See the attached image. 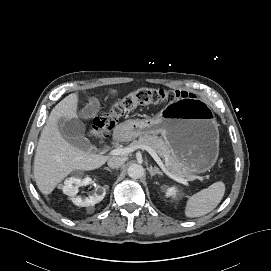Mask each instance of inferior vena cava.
Wrapping results in <instances>:
<instances>
[{
	"mask_svg": "<svg viewBox=\"0 0 271 271\" xmlns=\"http://www.w3.org/2000/svg\"><path fill=\"white\" fill-rule=\"evenodd\" d=\"M125 160L123 157H111L108 160V166L113 169L119 168L124 164Z\"/></svg>",
	"mask_w": 271,
	"mask_h": 271,
	"instance_id": "obj_1",
	"label": "inferior vena cava"
}]
</instances>
